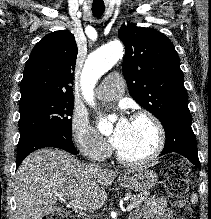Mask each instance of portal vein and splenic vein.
<instances>
[{
    "label": "portal vein and splenic vein",
    "instance_id": "1",
    "mask_svg": "<svg viewBox=\"0 0 211 219\" xmlns=\"http://www.w3.org/2000/svg\"><path fill=\"white\" fill-rule=\"evenodd\" d=\"M70 205H72L73 207L75 208H79V206L73 202H70ZM80 209V208H79ZM133 209V205L132 204H129L127 207H126V211L129 212Z\"/></svg>",
    "mask_w": 211,
    "mask_h": 219
}]
</instances>
